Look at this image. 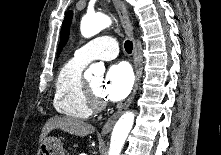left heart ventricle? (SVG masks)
Wrapping results in <instances>:
<instances>
[{
	"instance_id": "b2bd125f",
	"label": "left heart ventricle",
	"mask_w": 221,
	"mask_h": 155,
	"mask_svg": "<svg viewBox=\"0 0 221 155\" xmlns=\"http://www.w3.org/2000/svg\"><path fill=\"white\" fill-rule=\"evenodd\" d=\"M87 82L90 85V87L92 88V90L95 92V94L98 95L99 97H102L101 96V88H102V84H103V79L100 77H97V78H93Z\"/></svg>"
}]
</instances>
